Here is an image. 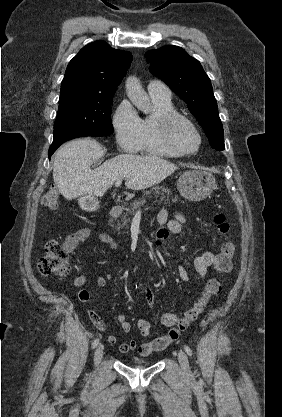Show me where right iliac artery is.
<instances>
[{
  "label": "right iliac artery",
  "mask_w": 282,
  "mask_h": 417,
  "mask_svg": "<svg viewBox=\"0 0 282 417\" xmlns=\"http://www.w3.org/2000/svg\"><path fill=\"white\" fill-rule=\"evenodd\" d=\"M98 344H99V339H95V340L92 342V349L96 348Z\"/></svg>",
  "instance_id": "obj_1"
}]
</instances>
